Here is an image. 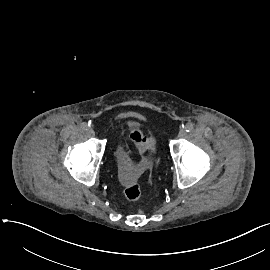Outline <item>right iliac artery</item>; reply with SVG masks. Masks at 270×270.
<instances>
[{"mask_svg": "<svg viewBox=\"0 0 270 270\" xmlns=\"http://www.w3.org/2000/svg\"><path fill=\"white\" fill-rule=\"evenodd\" d=\"M81 128H82V130H88L89 129V125L86 123V122H83L82 124H81Z\"/></svg>", "mask_w": 270, "mask_h": 270, "instance_id": "82829eb1", "label": "right iliac artery"}]
</instances>
